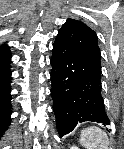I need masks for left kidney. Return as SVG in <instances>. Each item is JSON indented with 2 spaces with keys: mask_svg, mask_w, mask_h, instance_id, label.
<instances>
[{
  "mask_svg": "<svg viewBox=\"0 0 124 149\" xmlns=\"http://www.w3.org/2000/svg\"><path fill=\"white\" fill-rule=\"evenodd\" d=\"M71 149H78V147H74V146H73V147H71Z\"/></svg>",
  "mask_w": 124,
  "mask_h": 149,
  "instance_id": "5707ae66",
  "label": "left kidney"
}]
</instances>
